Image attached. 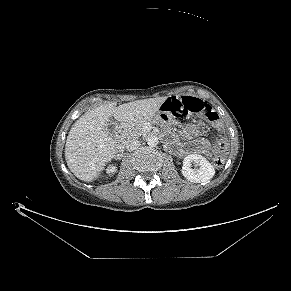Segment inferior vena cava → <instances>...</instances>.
<instances>
[{
  "label": "inferior vena cava",
  "mask_w": 291,
  "mask_h": 291,
  "mask_svg": "<svg viewBox=\"0 0 291 291\" xmlns=\"http://www.w3.org/2000/svg\"><path fill=\"white\" fill-rule=\"evenodd\" d=\"M140 146V142L136 138H130L126 141L127 151H133Z\"/></svg>",
  "instance_id": "inferior-vena-cava-1"
}]
</instances>
